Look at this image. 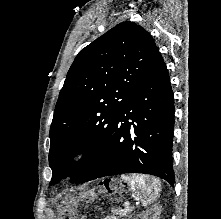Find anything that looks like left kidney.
Masks as SVG:
<instances>
[{
  "mask_svg": "<svg viewBox=\"0 0 221 219\" xmlns=\"http://www.w3.org/2000/svg\"><path fill=\"white\" fill-rule=\"evenodd\" d=\"M160 210L159 208H154L153 210H150L144 214L138 215V218L136 219H159Z\"/></svg>",
  "mask_w": 221,
  "mask_h": 219,
  "instance_id": "obj_1",
  "label": "left kidney"
}]
</instances>
